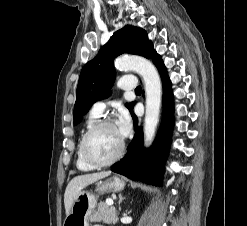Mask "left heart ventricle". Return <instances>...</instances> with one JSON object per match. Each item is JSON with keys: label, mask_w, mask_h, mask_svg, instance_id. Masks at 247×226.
Wrapping results in <instances>:
<instances>
[{"label": "left heart ventricle", "mask_w": 247, "mask_h": 226, "mask_svg": "<svg viewBox=\"0 0 247 226\" xmlns=\"http://www.w3.org/2000/svg\"><path fill=\"white\" fill-rule=\"evenodd\" d=\"M123 139L117 128L105 127L94 133L87 145L90 156L96 161H107L117 154Z\"/></svg>", "instance_id": "left-heart-ventricle-1"}]
</instances>
